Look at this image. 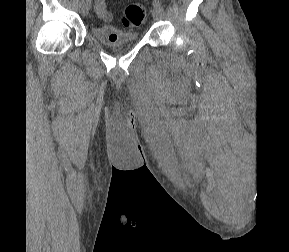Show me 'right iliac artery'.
<instances>
[{"instance_id": "right-iliac-artery-1", "label": "right iliac artery", "mask_w": 289, "mask_h": 252, "mask_svg": "<svg viewBox=\"0 0 289 252\" xmlns=\"http://www.w3.org/2000/svg\"><path fill=\"white\" fill-rule=\"evenodd\" d=\"M87 2L90 4V3H91V0H87Z\"/></svg>"}]
</instances>
